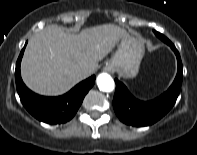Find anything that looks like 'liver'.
<instances>
[{
    "label": "liver",
    "instance_id": "obj_1",
    "mask_svg": "<svg viewBox=\"0 0 197 155\" xmlns=\"http://www.w3.org/2000/svg\"><path fill=\"white\" fill-rule=\"evenodd\" d=\"M127 36L113 24L87 28L78 35L50 25L29 39L21 64L22 79L36 93L63 94L90 76L98 62Z\"/></svg>",
    "mask_w": 197,
    "mask_h": 155
}]
</instances>
